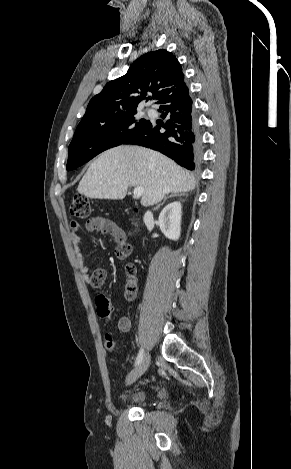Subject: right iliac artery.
Here are the masks:
<instances>
[{
	"label": "right iliac artery",
	"instance_id": "1",
	"mask_svg": "<svg viewBox=\"0 0 291 469\" xmlns=\"http://www.w3.org/2000/svg\"><path fill=\"white\" fill-rule=\"evenodd\" d=\"M143 356H144V350L141 348L138 355H137L135 365H137L141 362Z\"/></svg>",
	"mask_w": 291,
	"mask_h": 469
}]
</instances>
